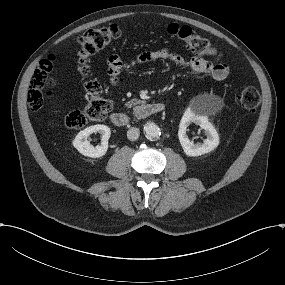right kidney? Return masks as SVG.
Instances as JSON below:
<instances>
[{"instance_id":"obj_1","label":"right kidney","mask_w":285,"mask_h":285,"mask_svg":"<svg viewBox=\"0 0 285 285\" xmlns=\"http://www.w3.org/2000/svg\"><path fill=\"white\" fill-rule=\"evenodd\" d=\"M94 132H99L102 135L101 144L94 147L87 140L88 136ZM110 128L106 125H92L80 131L73 140V146L84 156L98 158L107 152L108 140L110 138Z\"/></svg>"}]
</instances>
